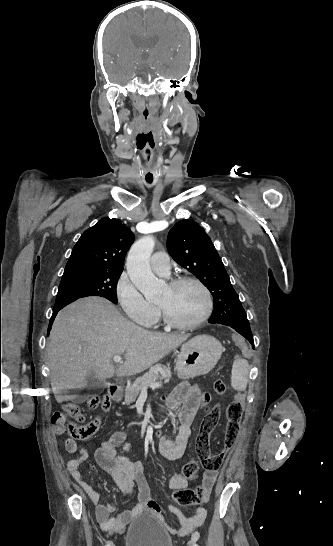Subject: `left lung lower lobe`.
Masks as SVG:
<instances>
[{"label":"left lung lower lobe","mask_w":333,"mask_h":546,"mask_svg":"<svg viewBox=\"0 0 333 546\" xmlns=\"http://www.w3.org/2000/svg\"><path fill=\"white\" fill-rule=\"evenodd\" d=\"M209 323H218L216 320L209 319ZM223 324L232 327L235 329L238 333H240L242 336H244L251 344L254 343L252 332L250 329V324L247 318H241L237 320L232 325L226 324V323H218ZM254 348V345L252 346Z\"/></svg>","instance_id":"0a47b994"}]
</instances>
